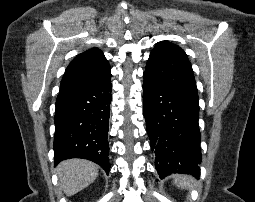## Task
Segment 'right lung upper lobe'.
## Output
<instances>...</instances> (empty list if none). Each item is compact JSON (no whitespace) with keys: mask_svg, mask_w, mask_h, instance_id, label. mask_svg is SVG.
<instances>
[{"mask_svg":"<svg viewBox=\"0 0 255 202\" xmlns=\"http://www.w3.org/2000/svg\"><path fill=\"white\" fill-rule=\"evenodd\" d=\"M110 77V66L102 51L92 48L77 55L66 68L60 92L94 86Z\"/></svg>","mask_w":255,"mask_h":202,"instance_id":"1","label":"right lung upper lobe"}]
</instances>
